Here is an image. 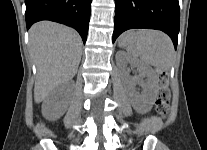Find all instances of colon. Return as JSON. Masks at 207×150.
Masks as SVG:
<instances>
[{
    "label": "colon",
    "instance_id": "obj_1",
    "mask_svg": "<svg viewBox=\"0 0 207 150\" xmlns=\"http://www.w3.org/2000/svg\"><path fill=\"white\" fill-rule=\"evenodd\" d=\"M170 98L169 78L167 73L161 71L159 72L156 95V110L160 115L165 116L168 113Z\"/></svg>",
    "mask_w": 207,
    "mask_h": 150
}]
</instances>
